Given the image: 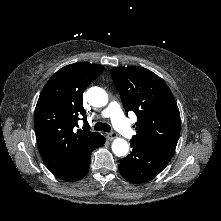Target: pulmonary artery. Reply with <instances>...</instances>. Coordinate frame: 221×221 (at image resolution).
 <instances>
[{"label":"pulmonary artery","instance_id":"pulmonary-artery-1","mask_svg":"<svg viewBox=\"0 0 221 221\" xmlns=\"http://www.w3.org/2000/svg\"><path fill=\"white\" fill-rule=\"evenodd\" d=\"M102 117H110L115 129L126 138L133 136V129L125 119L119 104L112 101L102 112Z\"/></svg>","mask_w":221,"mask_h":221}]
</instances>
